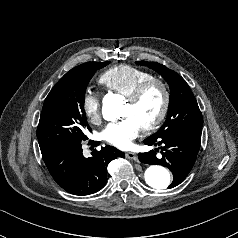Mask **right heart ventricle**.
Listing matches in <instances>:
<instances>
[{"mask_svg": "<svg viewBox=\"0 0 238 238\" xmlns=\"http://www.w3.org/2000/svg\"><path fill=\"white\" fill-rule=\"evenodd\" d=\"M153 78V75L130 65H117L104 71L99 83L107 90L128 97L142 82Z\"/></svg>", "mask_w": 238, "mask_h": 238, "instance_id": "1", "label": "right heart ventricle"}]
</instances>
